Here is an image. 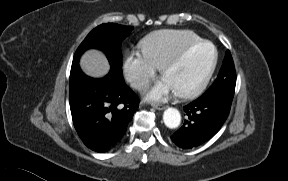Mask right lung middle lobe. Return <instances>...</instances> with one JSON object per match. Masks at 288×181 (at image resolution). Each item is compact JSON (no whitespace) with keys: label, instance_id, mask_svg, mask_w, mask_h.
<instances>
[{"label":"right lung middle lobe","instance_id":"right-lung-middle-lobe-1","mask_svg":"<svg viewBox=\"0 0 288 181\" xmlns=\"http://www.w3.org/2000/svg\"><path fill=\"white\" fill-rule=\"evenodd\" d=\"M133 30L131 26L114 23L102 24L94 28L78 47L72 62L71 70L79 67V58L90 48H99L105 51L110 62L111 71L122 77L121 41Z\"/></svg>","mask_w":288,"mask_h":181}]
</instances>
